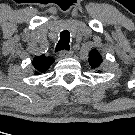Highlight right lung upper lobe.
<instances>
[{
  "mask_svg": "<svg viewBox=\"0 0 135 135\" xmlns=\"http://www.w3.org/2000/svg\"><path fill=\"white\" fill-rule=\"evenodd\" d=\"M54 61H55L54 58L46 57L45 55L35 57L32 61L35 70V75L44 73Z\"/></svg>",
  "mask_w": 135,
  "mask_h": 135,
  "instance_id": "cb5924a9",
  "label": "right lung upper lobe"
}]
</instances>
